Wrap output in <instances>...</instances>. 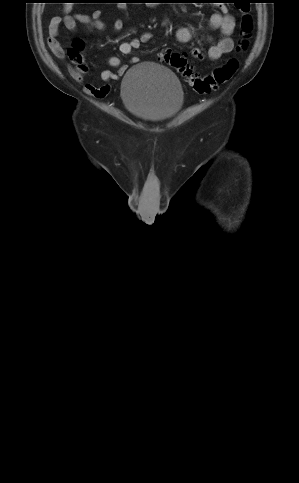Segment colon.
Returning a JSON list of instances; mask_svg holds the SVG:
<instances>
[{
  "mask_svg": "<svg viewBox=\"0 0 299 483\" xmlns=\"http://www.w3.org/2000/svg\"><path fill=\"white\" fill-rule=\"evenodd\" d=\"M242 39L240 40L237 51L243 53L249 46V39L253 31L252 16L245 12L240 24ZM83 42L79 39L75 40L68 50V59L70 61V73L81 79L86 74L88 67L81 53ZM160 59L171 67L176 69L181 76L190 84L192 89L199 94H208L216 90L219 86L228 82L239 67L237 58H230L220 67L216 68L211 74L201 76L193 66H191L186 58L177 52L164 51L160 54Z\"/></svg>",
  "mask_w": 299,
  "mask_h": 483,
  "instance_id": "obj_1",
  "label": "colon"
}]
</instances>
